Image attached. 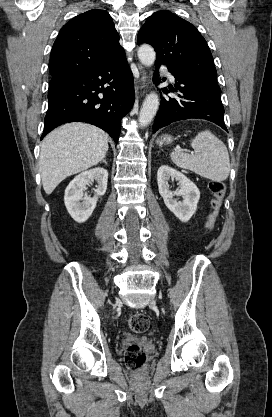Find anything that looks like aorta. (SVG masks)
<instances>
[{
  "instance_id": "1",
  "label": "aorta",
  "mask_w": 272,
  "mask_h": 417,
  "mask_svg": "<svg viewBox=\"0 0 272 417\" xmlns=\"http://www.w3.org/2000/svg\"><path fill=\"white\" fill-rule=\"evenodd\" d=\"M138 58L141 63L147 67L154 64L156 59V53L154 49L148 45H141L138 49ZM159 107V97L156 93H150L145 98L140 115H139V124L141 126L148 125L154 118Z\"/></svg>"
}]
</instances>
